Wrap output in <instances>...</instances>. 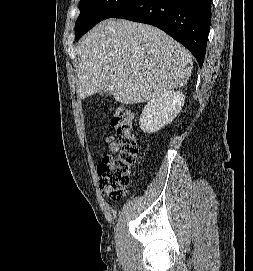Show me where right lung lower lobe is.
<instances>
[{
    "label": "right lung lower lobe",
    "instance_id": "98d812e1",
    "mask_svg": "<svg viewBox=\"0 0 253 271\" xmlns=\"http://www.w3.org/2000/svg\"><path fill=\"white\" fill-rule=\"evenodd\" d=\"M212 0H129L112 18L154 25L182 43L202 67Z\"/></svg>",
    "mask_w": 253,
    "mask_h": 271
}]
</instances>
